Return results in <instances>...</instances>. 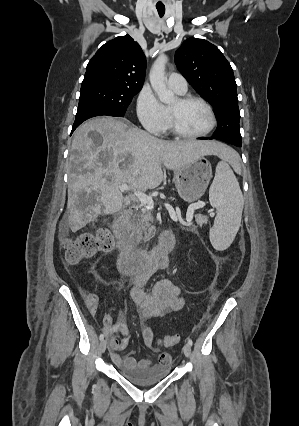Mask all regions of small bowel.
<instances>
[{
	"instance_id": "small-bowel-1",
	"label": "small bowel",
	"mask_w": 299,
	"mask_h": 426,
	"mask_svg": "<svg viewBox=\"0 0 299 426\" xmlns=\"http://www.w3.org/2000/svg\"><path fill=\"white\" fill-rule=\"evenodd\" d=\"M170 266L168 256L156 260L154 263L133 275V287L130 291L131 298L137 307L139 316L144 320L162 317L167 313L178 311L184 305L180 288L170 280H160L156 282L150 291L146 290V285L150 277L158 270ZM104 332L108 338L110 346V356L113 363L118 368L134 369L155 366L151 360H137L134 352H130L125 357L120 355V351L128 347L130 342L128 327L124 321L114 322L111 313H107L103 318ZM119 332L122 338L116 337ZM142 337L145 346L153 351H158L153 346L154 333L150 326L145 325L142 330ZM171 362L170 354L160 353L158 365L167 366Z\"/></svg>"
}]
</instances>
